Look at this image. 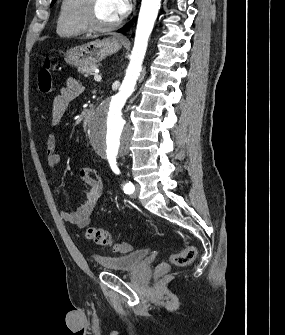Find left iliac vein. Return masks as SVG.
<instances>
[{"mask_svg":"<svg viewBox=\"0 0 285 335\" xmlns=\"http://www.w3.org/2000/svg\"><path fill=\"white\" fill-rule=\"evenodd\" d=\"M139 191H140V186L136 185L135 186V191H134L132 197L135 198L139 194Z\"/></svg>","mask_w":285,"mask_h":335,"instance_id":"4c4485c4","label":"left iliac vein"}]
</instances>
